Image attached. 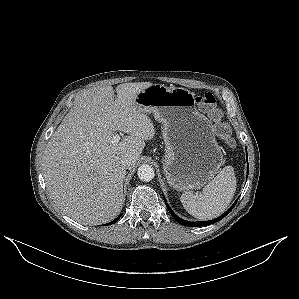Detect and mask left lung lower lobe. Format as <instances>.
Listing matches in <instances>:
<instances>
[{"label": "left lung lower lobe", "instance_id": "left-lung-lower-lobe-1", "mask_svg": "<svg viewBox=\"0 0 299 299\" xmlns=\"http://www.w3.org/2000/svg\"><path fill=\"white\" fill-rule=\"evenodd\" d=\"M247 155V153H246ZM248 161V159H247ZM247 174H248V163H247ZM237 202V200H236ZM236 202L224 213L222 214L220 217L214 219V220H210V221H200V222H188V221H185V220H182L181 218H179L178 216L175 215V213L171 210V208L168 206L167 202L165 201L166 203V206L170 212V214L172 215V217L180 224L182 225H185V226H190V227H200V226H205V225H210V224H213V223H216L218 222L219 220H221L222 218H224L232 209L233 207L235 206Z\"/></svg>", "mask_w": 299, "mask_h": 299}]
</instances>
